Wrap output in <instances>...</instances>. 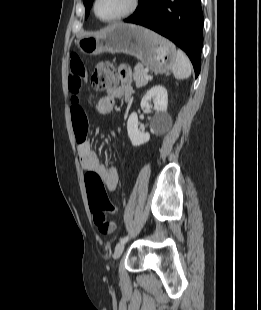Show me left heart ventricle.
I'll return each mask as SVG.
<instances>
[{"label":"left heart ventricle","mask_w":261,"mask_h":310,"mask_svg":"<svg viewBox=\"0 0 261 310\" xmlns=\"http://www.w3.org/2000/svg\"><path fill=\"white\" fill-rule=\"evenodd\" d=\"M130 4V0H99L98 14L105 19L113 18L123 13Z\"/></svg>","instance_id":"obj_1"}]
</instances>
